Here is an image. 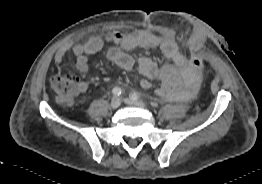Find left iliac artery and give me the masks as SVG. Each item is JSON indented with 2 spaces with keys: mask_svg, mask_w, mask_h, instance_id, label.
Wrapping results in <instances>:
<instances>
[{
  "mask_svg": "<svg viewBox=\"0 0 262 184\" xmlns=\"http://www.w3.org/2000/svg\"><path fill=\"white\" fill-rule=\"evenodd\" d=\"M130 98L134 100H138L140 98V95L138 93H131Z\"/></svg>",
  "mask_w": 262,
  "mask_h": 184,
  "instance_id": "1",
  "label": "left iliac artery"
}]
</instances>
